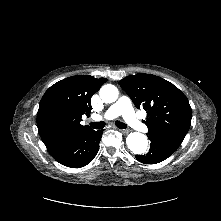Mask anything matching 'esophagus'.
<instances>
[{"label": "esophagus", "instance_id": "obj_1", "mask_svg": "<svg viewBox=\"0 0 221 221\" xmlns=\"http://www.w3.org/2000/svg\"><path fill=\"white\" fill-rule=\"evenodd\" d=\"M120 131L123 133V134H128L130 131L127 130V129H120Z\"/></svg>", "mask_w": 221, "mask_h": 221}]
</instances>
